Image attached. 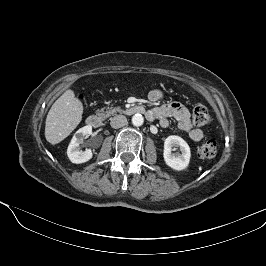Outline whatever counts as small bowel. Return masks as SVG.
Instances as JSON below:
<instances>
[{"label": "small bowel", "mask_w": 266, "mask_h": 266, "mask_svg": "<svg viewBox=\"0 0 266 266\" xmlns=\"http://www.w3.org/2000/svg\"><path fill=\"white\" fill-rule=\"evenodd\" d=\"M163 96L162 91L158 89H153L147 93V98L151 102H159ZM146 117L151 121L159 120L164 128L169 127L170 118H174L178 123L179 129L186 132L194 142L201 141L204 136L200 129L193 126L188 109L179 102H170L148 110Z\"/></svg>", "instance_id": "small-bowel-1"}]
</instances>
